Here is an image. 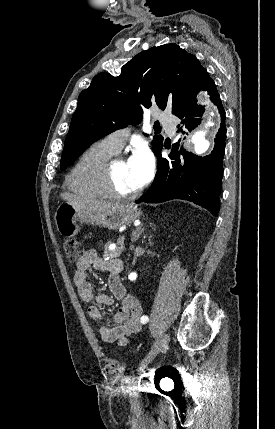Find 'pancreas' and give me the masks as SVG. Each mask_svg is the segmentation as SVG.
<instances>
[{"label":"pancreas","mask_w":275,"mask_h":429,"mask_svg":"<svg viewBox=\"0 0 275 429\" xmlns=\"http://www.w3.org/2000/svg\"><path fill=\"white\" fill-rule=\"evenodd\" d=\"M120 242H121V239H118L116 247L112 250L109 248L111 243H107L105 245L104 257H109L111 259L119 257L124 250V247L119 244Z\"/></svg>","instance_id":"pancreas-1"}]
</instances>
